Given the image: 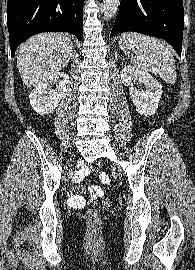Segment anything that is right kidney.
<instances>
[{
	"instance_id": "1",
	"label": "right kidney",
	"mask_w": 195,
	"mask_h": 270,
	"mask_svg": "<svg viewBox=\"0 0 195 270\" xmlns=\"http://www.w3.org/2000/svg\"><path fill=\"white\" fill-rule=\"evenodd\" d=\"M69 76L58 72L43 79L30 93L29 99L33 110L40 115L53 112L66 92ZM56 88L53 89V86Z\"/></svg>"
}]
</instances>
